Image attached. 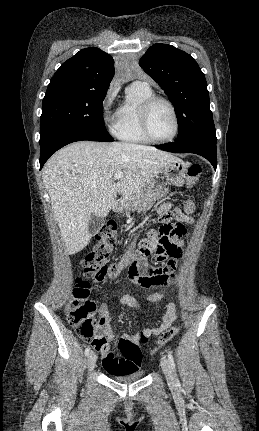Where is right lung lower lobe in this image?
<instances>
[{
  "instance_id": "1",
  "label": "right lung lower lobe",
  "mask_w": 259,
  "mask_h": 431,
  "mask_svg": "<svg viewBox=\"0 0 259 431\" xmlns=\"http://www.w3.org/2000/svg\"><path fill=\"white\" fill-rule=\"evenodd\" d=\"M81 140L112 142V138L102 136L100 134L78 128V127H62L57 128L40 138V169L43 167L47 159L63 146Z\"/></svg>"
}]
</instances>
